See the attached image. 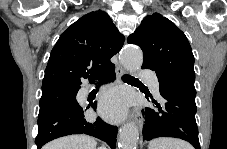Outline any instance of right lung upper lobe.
I'll list each match as a JSON object with an SVG mask.
<instances>
[{
	"instance_id": "1",
	"label": "right lung upper lobe",
	"mask_w": 227,
	"mask_h": 149,
	"mask_svg": "<svg viewBox=\"0 0 227 149\" xmlns=\"http://www.w3.org/2000/svg\"><path fill=\"white\" fill-rule=\"evenodd\" d=\"M124 36L107 13L90 12L59 37L45 69L42 88L65 84L80 88L82 80L99 79L112 64L110 59L120 51Z\"/></svg>"
}]
</instances>
